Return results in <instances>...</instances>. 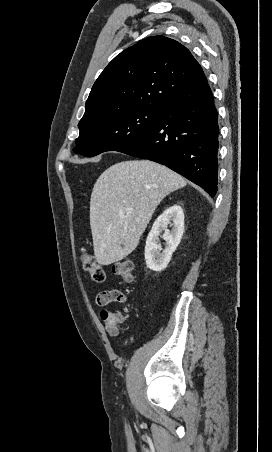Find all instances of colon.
<instances>
[{
  "mask_svg": "<svg viewBox=\"0 0 272 452\" xmlns=\"http://www.w3.org/2000/svg\"><path fill=\"white\" fill-rule=\"evenodd\" d=\"M81 263L83 269L90 274V277L94 282L103 283L106 281L107 275L105 270L92 255L85 252L81 257ZM113 270L114 273L124 281H132L134 276V265L130 259L116 262L113 266Z\"/></svg>",
  "mask_w": 272,
  "mask_h": 452,
  "instance_id": "obj_1",
  "label": "colon"
}]
</instances>
